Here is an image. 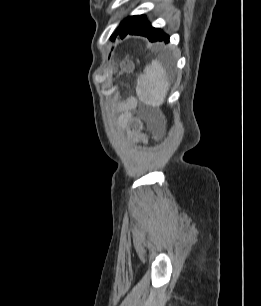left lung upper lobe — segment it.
Listing matches in <instances>:
<instances>
[{
	"label": "left lung upper lobe",
	"mask_w": 261,
	"mask_h": 306,
	"mask_svg": "<svg viewBox=\"0 0 261 306\" xmlns=\"http://www.w3.org/2000/svg\"><path fill=\"white\" fill-rule=\"evenodd\" d=\"M135 18V16H129L126 19H124L121 24L119 29L116 31V33L114 35H112L111 40H115L116 36L119 34H121L129 25L130 23L133 21V19Z\"/></svg>",
	"instance_id": "5c2ea615"
}]
</instances>
